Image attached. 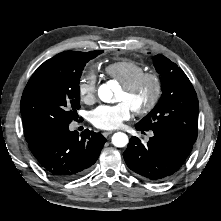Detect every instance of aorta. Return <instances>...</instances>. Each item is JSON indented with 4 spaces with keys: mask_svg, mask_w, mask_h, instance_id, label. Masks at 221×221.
Segmentation results:
<instances>
[{
    "mask_svg": "<svg viewBox=\"0 0 221 221\" xmlns=\"http://www.w3.org/2000/svg\"><path fill=\"white\" fill-rule=\"evenodd\" d=\"M98 96L103 102H111L113 92L109 83L102 84L98 89ZM128 136L123 132L114 133L112 143L116 147H124L128 144Z\"/></svg>",
    "mask_w": 221,
    "mask_h": 221,
    "instance_id": "aorta-1",
    "label": "aorta"
}]
</instances>
